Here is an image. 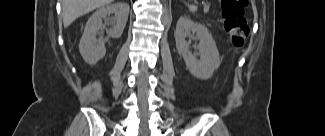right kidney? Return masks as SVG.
<instances>
[{
    "mask_svg": "<svg viewBox=\"0 0 325 136\" xmlns=\"http://www.w3.org/2000/svg\"><path fill=\"white\" fill-rule=\"evenodd\" d=\"M114 16H110L113 15ZM129 14V6L124 2H117L99 8L88 19L82 38L79 43V51L83 59L89 65H95L101 58L104 57L105 42L109 37L120 38L126 26ZM105 20L107 25L112 28L108 32V37L105 39H97V33L104 27L102 20Z\"/></svg>",
    "mask_w": 325,
    "mask_h": 136,
    "instance_id": "obj_1",
    "label": "right kidney"
}]
</instances>
